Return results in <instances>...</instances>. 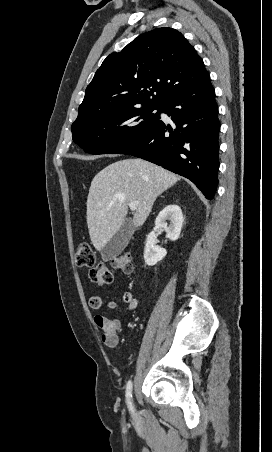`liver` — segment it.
Masks as SVG:
<instances>
[{"label": "liver", "mask_w": 272, "mask_h": 452, "mask_svg": "<svg viewBox=\"0 0 272 452\" xmlns=\"http://www.w3.org/2000/svg\"><path fill=\"white\" fill-rule=\"evenodd\" d=\"M179 180L174 173L139 158L114 162L95 175L87 197V224L97 251L126 220L130 202H136L133 224L140 227L156 198Z\"/></svg>", "instance_id": "1"}]
</instances>
